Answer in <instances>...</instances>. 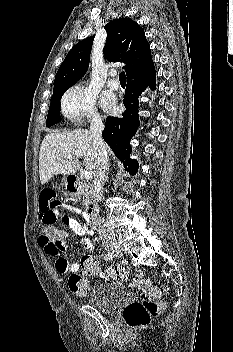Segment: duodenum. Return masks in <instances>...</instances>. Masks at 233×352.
Returning <instances> with one entry per match:
<instances>
[{
    "label": "duodenum",
    "instance_id": "duodenum-1",
    "mask_svg": "<svg viewBox=\"0 0 233 352\" xmlns=\"http://www.w3.org/2000/svg\"><path fill=\"white\" fill-rule=\"evenodd\" d=\"M67 189L71 194L85 193L90 197L87 204L86 216L90 224H94L95 218L98 213V207L93 199L94 187L91 185L83 184L78 177L69 176L67 180Z\"/></svg>",
    "mask_w": 233,
    "mask_h": 352
}]
</instances>
